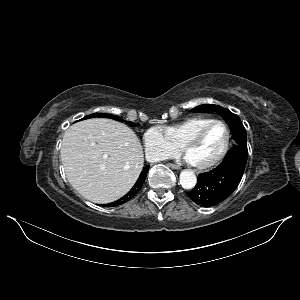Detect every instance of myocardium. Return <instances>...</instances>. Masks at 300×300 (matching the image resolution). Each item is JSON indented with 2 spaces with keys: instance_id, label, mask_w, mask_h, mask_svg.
<instances>
[{
  "instance_id": "myocardium-1",
  "label": "myocardium",
  "mask_w": 300,
  "mask_h": 300,
  "mask_svg": "<svg viewBox=\"0 0 300 300\" xmlns=\"http://www.w3.org/2000/svg\"><path fill=\"white\" fill-rule=\"evenodd\" d=\"M214 125H222L226 130V140H225L224 147H223L221 153L214 160H212L211 162H208V163H205V164H195V163L191 162V165L194 168H196L197 170L207 171V170L215 168L216 166H218L225 159V157L228 154L229 147H230V141H231L230 128L224 121L216 120V119H214V120L210 121L209 123L205 124L204 126H202L189 139H187V141L182 146V150H183V152L185 153V155L187 157L188 151L192 147L197 145L202 140L205 133Z\"/></svg>"
}]
</instances>
